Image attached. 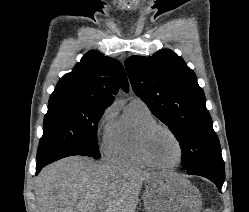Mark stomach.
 Listing matches in <instances>:
<instances>
[{"label": "stomach", "mask_w": 249, "mask_h": 212, "mask_svg": "<svg viewBox=\"0 0 249 212\" xmlns=\"http://www.w3.org/2000/svg\"><path fill=\"white\" fill-rule=\"evenodd\" d=\"M146 212H201L202 196L191 182L174 170H157L145 179Z\"/></svg>", "instance_id": "obj_1"}]
</instances>
